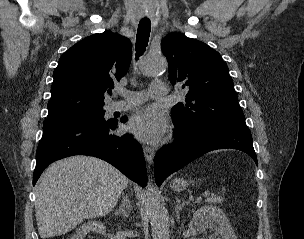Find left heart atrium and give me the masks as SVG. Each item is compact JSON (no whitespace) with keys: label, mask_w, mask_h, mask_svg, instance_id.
<instances>
[{"label":"left heart atrium","mask_w":304,"mask_h":239,"mask_svg":"<svg viewBox=\"0 0 304 239\" xmlns=\"http://www.w3.org/2000/svg\"><path fill=\"white\" fill-rule=\"evenodd\" d=\"M167 128L168 123L164 114L152 107L136 111L127 123L129 133L146 142L158 141Z\"/></svg>","instance_id":"obj_1"}]
</instances>
